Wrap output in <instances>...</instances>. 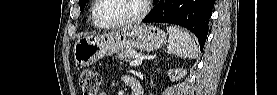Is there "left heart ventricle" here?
Masks as SVG:
<instances>
[{
  "instance_id": "b2bd125f",
  "label": "left heart ventricle",
  "mask_w": 277,
  "mask_h": 95,
  "mask_svg": "<svg viewBox=\"0 0 277 95\" xmlns=\"http://www.w3.org/2000/svg\"><path fill=\"white\" fill-rule=\"evenodd\" d=\"M140 0H102L96 9V16L104 22L135 17L141 11Z\"/></svg>"
}]
</instances>
